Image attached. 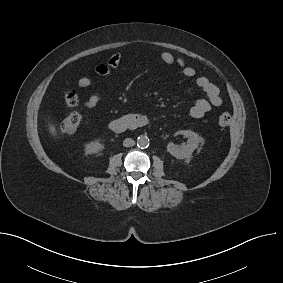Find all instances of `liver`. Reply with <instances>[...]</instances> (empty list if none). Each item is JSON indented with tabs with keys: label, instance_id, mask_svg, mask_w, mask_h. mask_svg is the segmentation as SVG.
<instances>
[{
	"label": "liver",
	"instance_id": "6515ba94",
	"mask_svg": "<svg viewBox=\"0 0 283 283\" xmlns=\"http://www.w3.org/2000/svg\"><path fill=\"white\" fill-rule=\"evenodd\" d=\"M48 130L51 136H53L54 138H59L57 134L56 126L54 124L48 122Z\"/></svg>",
	"mask_w": 283,
	"mask_h": 283
}]
</instances>
